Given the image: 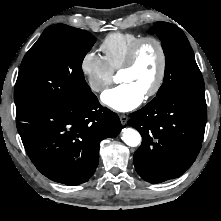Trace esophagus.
<instances>
[{"mask_svg":"<svg viewBox=\"0 0 221 221\" xmlns=\"http://www.w3.org/2000/svg\"><path fill=\"white\" fill-rule=\"evenodd\" d=\"M119 118H120V121H121L122 125H126V124H127V122H128V116H126V115H124V114H121V115L119 116Z\"/></svg>","mask_w":221,"mask_h":221,"instance_id":"esophagus-1","label":"esophagus"}]
</instances>
